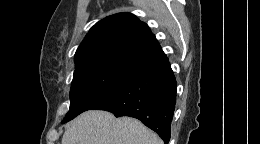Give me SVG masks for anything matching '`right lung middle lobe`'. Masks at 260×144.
<instances>
[{
  "label": "right lung middle lobe",
  "mask_w": 260,
  "mask_h": 144,
  "mask_svg": "<svg viewBox=\"0 0 260 144\" xmlns=\"http://www.w3.org/2000/svg\"><path fill=\"white\" fill-rule=\"evenodd\" d=\"M136 71L111 66H93L74 72L70 108L62 123L93 109L122 88Z\"/></svg>",
  "instance_id": "1"
}]
</instances>
